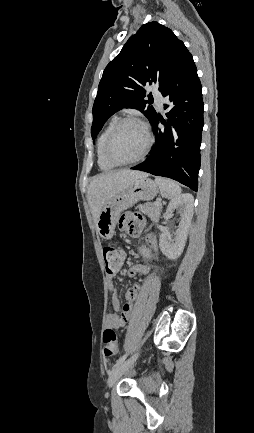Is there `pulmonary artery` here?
Masks as SVG:
<instances>
[{
  "label": "pulmonary artery",
  "mask_w": 254,
  "mask_h": 433,
  "mask_svg": "<svg viewBox=\"0 0 254 433\" xmlns=\"http://www.w3.org/2000/svg\"><path fill=\"white\" fill-rule=\"evenodd\" d=\"M152 94H153V97H154V99L156 101V104H157L158 108H162L164 98L161 95V93L158 91L157 88H153Z\"/></svg>",
  "instance_id": "pulmonary-artery-1"
}]
</instances>
